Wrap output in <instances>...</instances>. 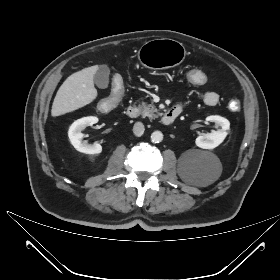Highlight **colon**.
I'll return each instance as SVG.
<instances>
[{"label": "colon", "instance_id": "5ec220e1", "mask_svg": "<svg viewBox=\"0 0 280 280\" xmlns=\"http://www.w3.org/2000/svg\"><path fill=\"white\" fill-rule=\"evenodd\" d=\"M182 78L185 82L192 86L202 87L207 84V75L200 69L194 67L186 68L182 73ZM110 83L112 85V94L109 99L104 100L100 103V110L102 112L109 111L114 107L122 98L124 88H123V78L119 74H114L110 78ZM229 108L232 111H238L240 109V102L238 100H231L229 103Z\"/></svg>", "mask_w": 280, "mask_h": 280}]
</instances>
